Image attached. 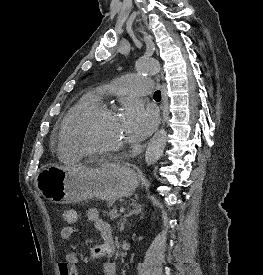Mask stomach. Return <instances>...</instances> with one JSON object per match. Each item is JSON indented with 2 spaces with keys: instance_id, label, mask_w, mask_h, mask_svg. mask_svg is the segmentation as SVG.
Returning <instances> with one entry per match:
<instances>
[{
  "instance_id": "obj_1",
  "label": "stomach",
  "mask_w": 263,
  "mask_h": 275,
  "mask_svg": "<svg viewBox=\"0 0 263 275\" xmlns=\"http://www.w3.org/2000/svg\"><path fill=\"white\" fill-rule=\"evenodd\" d=\"M35 184L44 198L57 204L92 198L113 203L132 195L138 180L129 166L106 162L96 167L49 166L39 172Z\"/></svg>"
}]
</instances>
